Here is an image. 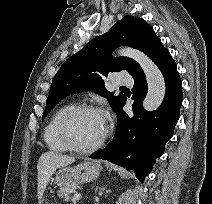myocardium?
Listing matches in <instances>:
<instances>
[{
    "label": "myocardium",
    "mask_w": 212,
    "mask_h": 204,
    "mask_svg": "<svg viewBox=\"0 0 212 204\" xmlns=\"http://www.w3.org/2000/svg\"><path fill=\"white\" fill-rule=\"evenodd\" d=\"M81 112L100 113L105 117V120H106L105 129L101 137L95 143L85 147L76 145L73 142L68 131V124L70 119L74 115ZM109 131H110V127L107 122V118L104 111L94 105H88V104L73 105L62 114L58 122V135L60 137V140L62 141V143L66 146L68 150L76 152V153H90L97 150L103 145V143L107 139Z\"/></svg>",
    "instance_id": "1"
}]
</instances>
